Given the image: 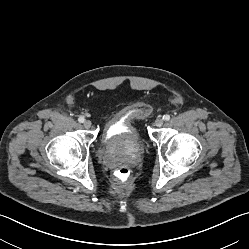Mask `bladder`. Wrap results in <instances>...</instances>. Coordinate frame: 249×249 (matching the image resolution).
<instances>
[{
	"label": "bladder",
	"instance_id": "bladder-1",
	"mask_svg": "<svg viewBox=\"0 0 249 249\" xmlns=\"http://www.w3.org/2000/svg\"><path fill=\"white\" fill-rule=\"evenodd\" d=\"M149 113L150 108L146 103L135 102L110 118L105 124V132L102 139L105 150H115L127 144H133L142 149L144 142L140 136L137 124L147 119Z\"/></svg>",
	"mask_w": 249,
	"mask_h": 249
}]
</instances>
